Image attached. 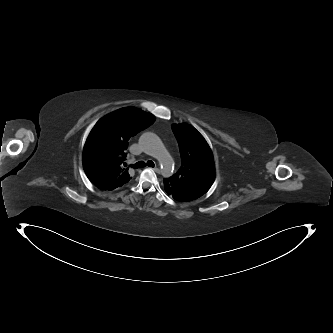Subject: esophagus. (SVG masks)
<instances>
[{
    "mask_svg": "<svg viewBox=\"0 0 333 333\" xmlns=\"http://www.w3.org/2000/svg\"><path fill=\"white\" fill-rule=\"evenodd\" d=\"M151 169H153L156 173H160V171H161L158 167L151 168Z\"/></svg>",
    "mask_w": 333,
    "mask_h": 333,
    "instance_id": "obj_1",
    "label": "esophagus"
}]
</instances>
